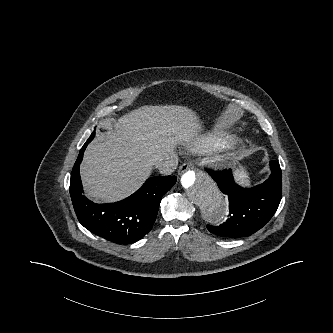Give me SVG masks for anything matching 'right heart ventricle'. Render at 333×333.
I'll use <instances>...</instances> for the list:
<instances>
[{"label": "right heart ventricle", "instance_id": "e07e8e85", "mask_svg": "<svg viewBox=\"0 0 333 333\" xmlns=\"http://www.w3.org/2000/svg\"><path fill=\"white\" fill-rule=\"evenodd\" d=\"M221 143L222 142L216 138L206 136L192 142L190 149L195 152H205L220 146Z\"/></svg>", "mask_w": 333, "mask_h": 333}]
</instances>
